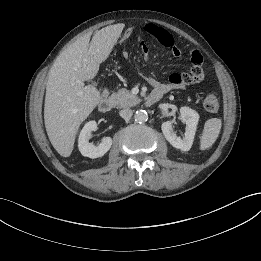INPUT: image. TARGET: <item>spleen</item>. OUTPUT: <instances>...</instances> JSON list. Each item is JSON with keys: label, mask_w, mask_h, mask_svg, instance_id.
I'll return each mask as SVG.
<instances>
[{"label": "spleen", "mask_w": 261, "mask_h": 261, "mask_svg": "<svg viewBox=\"0 0 261 261\" xmlns=\"http://www.w3.org/2000/svg\"><path fill=\"white\" fill-rule=\"evenodd\" d=\"M222 121L219 118L208 119L204 124V129L200 137V149L210 148L219 136Z\"/></svg>", "instance_id": "3e777b00"}]
</instances>
